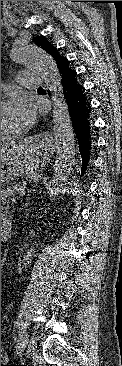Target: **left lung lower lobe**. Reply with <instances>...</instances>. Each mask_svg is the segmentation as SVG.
<instances>
[{
    "instance_id": "left-lung-lower-lobe-1",
    "label": "left lung lower lobe",
    "mask_w": 122,
    "mask_h": 366,
    "mask_svg": "<svg viewBox=\"0 0 122 366\" xmlns=\"http://www.w3.org/2000/svg\"><path fill=\"white\" fill-rule=\"evenodd\" d=\"M56 64L61 76L63 92L69 107L74 132L78 139L82 159L81 176H83L89 165L94 147L93 127L89 120L91 105L86 97L85 88L78 81L76 71L70 67L68 59L62 57L56 61Z\"/></svg>"
}]
</instances>
